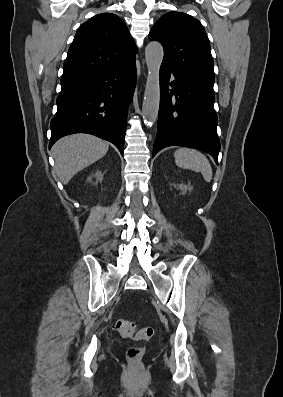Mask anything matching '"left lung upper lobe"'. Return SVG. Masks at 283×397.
Wrapping results in <instances>:
<instances>
[{"mask_svg":"<svg viewBox=\"0 0 283 397\" xmlns=\"http://www.w3.org/2000/svg\"><path fill=\"white\" fill-rule=\"evenodd\" d=\"M148 37L162 43L163 64L213 90L215 76L210 42L197 19L181 12H168L154 24Z\"/></svg>","mask_w":283,"mask_h":397,"instance_id":"obj_1","label":"left lung upper lobe"}]
</instances>
